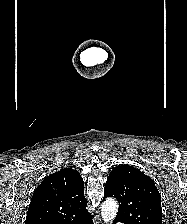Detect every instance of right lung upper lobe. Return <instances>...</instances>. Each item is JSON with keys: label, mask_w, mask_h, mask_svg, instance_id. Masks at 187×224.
Instances as JSON below:
<instances>
[{"label": "right lung upper lobe", "mask_w": 187, "mask_h": 224, "mask_svg": "<svg viewBox=\"0 0 187 224\" xmlns=\"http://www.w3.org/2000/svg\"><path fill=\"white\" fill-rule=\"evenodd\" d=\"M86 205L82 177L64 168L47 176L34 191L25 224H79L91 217Z\"/></svg>", "instance_id": "right-lung-upper-lobe-1"}]
</instances>
